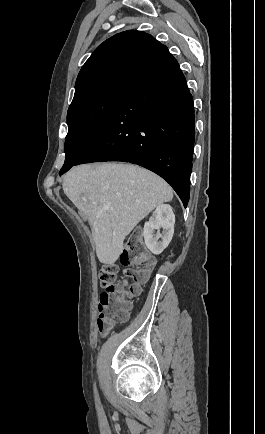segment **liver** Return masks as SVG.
Masks as SVG:
<instances>
[{
	"label": "liver",
	"mask_w": 265,
	"mask_h": 434,
	"mask_svg": "<svg viewBox=\"0 0 265 434\" xmlns=\"http://www.w3.org/2000/svg\"><path fill=\"white\" fill-rule=\"evenodd\" d=\"M62 186L83 220L90 222L99 262L110 266L122 254L133 228L173 198L162 178L130 164L76 166L65 174Z\"/></svg>",
	"instance_id": "1"
}]
</instances>
